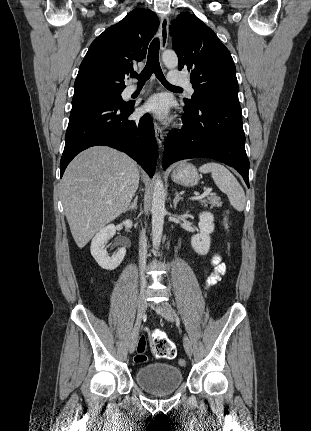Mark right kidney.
<instances>
[{
    "label": "right kidney",
    "mask_w": 311,
    "mask_h": 431,
    "mask_svg": "<svg viewBox=\"0 0 311 431\" xmlns=\"http://www.w3.org/2000/svg\"><path fill=\"white\" fill-rule=\"evenodd\" d=\"M123 223L126 227H131L132 225L131 219H125ZM115 233L116 227L114 223H109L106 227H102V229L94 235L91 241L90 251L93 257H95L97 263H99L103 269H115V267H118L124 259L126 247H120L119 251L114 253V255H111V257L105 249L108 239H110L112 235H115Z\"/></svg>",
    "instance_id": "obj_1"
}]
</instances>
